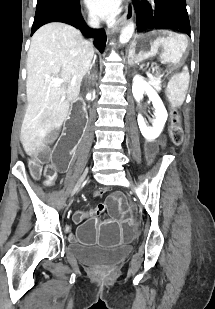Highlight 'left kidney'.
<instances>
[{
  "label": "left kidney",
  "instance_id": "obj_1",
  "mask_svg": "<svg viewBox=\"0 0 215 309\" xmlns=\"http://www.w3.org/2000/svg\"><path fill=\"white\" fill-rule=\"evenodd\" d=\"M132 92L137 102H140L145 92L147 96H149V100H152V104L155 108V118H152V126L146 124L145 118H143L141 114H138L137 120L143 136H145L147 140H154V138H157V136L161 134L168 118V112L156 90H154L140 74H135L133 78Z\"/></svg>",
  "mask_w": 215,
  "mask_h": 309
}]
</instances>
